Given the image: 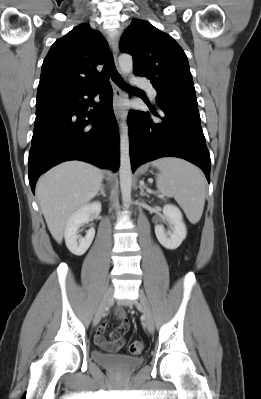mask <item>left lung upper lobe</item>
<instances>
[{
  "label": "left lung upper lobe",
  "mask_w": 261,
  "mask_h": 399,
  "mask_svg": "<svg viewBox=\"0 0 261 399\" xmlns=\"http://www.w3.org/2000/svg\"><path fill=\"white\" fill-rule=\"evenodd\" d=\"M120 49L133 56L134 73L151 80L157 103L197 102L187 56L170 35L147 21L135 20L121 37Z\"/></svg>",
  "instance_id": "1"
}]
</instances>
